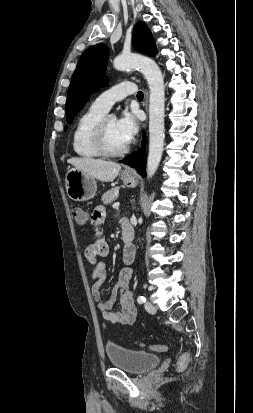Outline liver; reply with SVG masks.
<instances>
[{"mask_svg":"<svg viewBox=\"0 0 253 413\" xmlns=\"http://www.w3.org/2000/svg\"><path fill=\"white\" fill-rule=\"evenodd\" d=\"M67 162L102 182L113 181L121 170V165L118 163L90 157L70 158Z\"/></svg>","mask_w":253,"mask_h":413,"instance_id":"liver-1","label":"liver"}]
</instances>
